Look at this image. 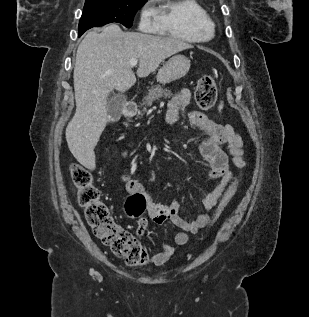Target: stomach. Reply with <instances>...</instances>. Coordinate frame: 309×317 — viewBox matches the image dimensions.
<instances>
[{
	"instance_id": "obj_1",
	"label": "stomach",
	"mask_w": 309,
	"mask_h": 317,
	"mask_svg": "<svg viewBox=\"0 0 309 317\" xmlns=\"http://www.w3.org/2000/svg\"><path fill=\"white\" fill-rule=\"evenodd\" d=\"M190 62V59L184 55H174L158 71L157 81L166 84L184 77L190 69Z\"/></svg>"
}]
</instances>
